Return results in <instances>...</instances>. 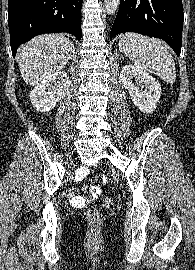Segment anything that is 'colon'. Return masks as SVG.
<instances>
[{"label":"colon","instance_id":"colon-1","mask_svg":"<svg viewBox=\"0 0 195 270\" xmlns=\"http://www.w3.org/2000/svg\"><path fill=\"white\" fill-rule=\"evenodd\" d=\"M87 190V188H84ZM104 206L109 207L112 204V200L110 198H105L103 201ZM86 217L90 223L96 224L100 220V212L96 208L89 209L86 213Z\"/></svg>","mask_w":195,"mask_h":270}]
</instances>
